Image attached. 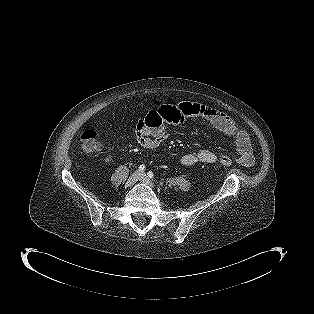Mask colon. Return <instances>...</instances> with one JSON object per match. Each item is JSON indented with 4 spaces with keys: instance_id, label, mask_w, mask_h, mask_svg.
Wrapping results in <instances>:
<instances>
[{
    "instance_id": "obj_1",
    "label": "colon",
    "mask_w": 314,
    "mask_h": 314,
    "mask_svg": "<svg viewBox=\"0 0 314 314\" xmlns=\"http://www.w3.org/2000/svg\"><path fill=\"white\" fill-rule=\"evenodd\" d=\"M100 133L95 128L86 129L80 140L81 150L86 154H94L101 150ZM218 162L224 166H231L233 164L232 159L227 155H219Z\"/></svg>"
}]
</instances>
